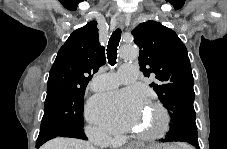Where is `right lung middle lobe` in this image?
<instances>
[{
    "mask_svg": "<svg viewBox=\"0 0 227 149\" xmlns=\"http://www.w3.org/2000/svg\"><path fill=\"white\" fill-rule=\"evenodd\" d=\"M85 89H56L47 91L41 130L81 128Z\"/></svg>",
    "mask_w": 227,
    "mask_h": 149,
    "instance_id": "right-lung-middle-lobe-1",
    "label": "right lung middle lobe"
}]
</instances>
